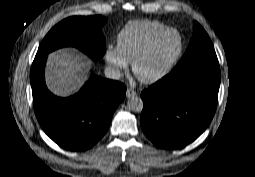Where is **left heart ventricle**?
<instances>
[{
  "label": "left heart ventricle",
  "instance_id": "1",
  "mask_svg": "<svg viewBox=\"0 0 255 177\" xmlns=\"http://www.w3.org/2000/svg\"><path fill=\"white\" fill-rule=\"evenodd\" d=\"M178 35L170 32L161 37L148 55L138 64L137 76L149 78L158 73L170 57L177 51Z\"/></svg>",
  "mask_w": 255,
  "mask_h": 177
}]
</instances>
